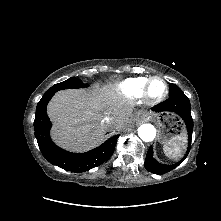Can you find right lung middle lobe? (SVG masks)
Instances as JSON below:
<instances>
[{
    "label": "right lung middle lobe",
    "mask_w": 221,
    "mask_h": 221,
    "mask_svg": "<svg viewBox=\"0 0 221 221\" xmlns=\"http://www.w3.org/2000/svg\"><path fill=\"white\" fill-rule=\"evenodd\" d=\"M88 84H84L81 80L71 77L68 80L55 84L52 86L46 93H55L62 89H68V88H84L87 87Z\"/></svg>",
    "instance_id": "dd1d6c3e"
}]
</instances>
